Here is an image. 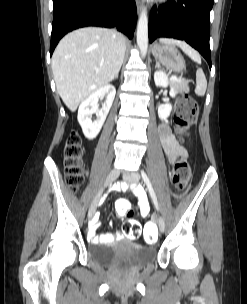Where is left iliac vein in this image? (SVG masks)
I'll list each match as a JSON object with an SVG mask.
<instances>
[{"label": "left iliac vein", "mask_w": 247, "mask_h": 304, "mask_svg": "<svg viewBox=\"0 0 247 304\" xmlns=\"http://www.w3.org/2000/svg\"><path fill=\"white\" fill-rule=\"evenodd\" d=\"M123 178L128 183H136V182L139 181L140 175L136 172H133L131 174H124ZM156 220H157V223H158L159 230L161 232H164L165 231V222H164L163 218L161 216H158L156 218Z\"/></svg>", "instance_id": "obj_1"}]
</instances>
